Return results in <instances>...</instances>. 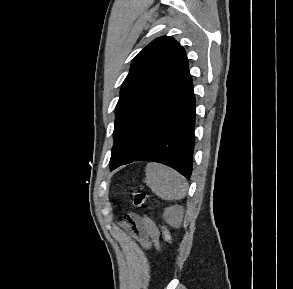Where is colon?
Instances as JSON below:
<instances>
[{"label":"colon","mask_w":293,"mask_h":289,"mask_svg":"<svg viewBox=\"0 0 293 289\" xmlns=\"http://www.w3.org/2000/svg\"><path fill=\"white\" fill-rule=\"evenodd\" d=\"M129 195L137 207H144L148 203V194L142 190L132 189L129 191ZM161 231L165 242L171 244L173 238L170 231L165 226H161Z\"/></svg>","instance_id":"obj_1"}]
</instances>
